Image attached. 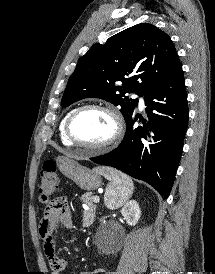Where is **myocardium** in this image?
<instances>
[{"mask_svg":"<svg viewBox=\"0 0 215 274\" xmlns=\"http://www.w3.org/2000/svg\"><path fill=\"white\" fill-rule=\"evenodd\" d=\"M88 109H97V110L104 111L113 120V123H114L113 134L111 135L109 139H107L106 141L100 144H96V145L85 144L79 141L72 132V124L76 116L82 111L88 110ZM123 130H124V125H123V120L120 113L114 107L106 104H102V103H88L75 108L68 116L65 124L66 136L73 145L90 150V151H94V152L105 151L111 148L113 145H115L122 137Z\"/></svg>","mask_w":215,"mask_h":274,"instance_id":"1","label":"myocardium"}]
</instances>
